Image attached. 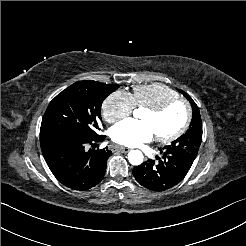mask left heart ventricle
<instances>
[{
    "mask_svg": "<svg viewBox=\"0 0 246 246\" xmlns=\"http://www.w3.org/2000/svg\"><path fill=\"white\" fill-rule=\"evenodd\" d=\"M184 118V108L174 104L160 115L154 116L144 110L140 120L147 123L156 136H166L173 133L181 125Z\"/></svg>",
    "mask_w": 246,
    "mask_h": 246,
    "instance_id": "b2bd125f",
    "label": "left heart ventricle"
}]
</instances>
